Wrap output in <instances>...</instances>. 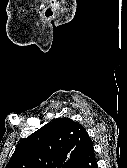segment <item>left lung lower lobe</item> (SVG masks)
<instances>
[{"label": "left lung lower lobe", "instance_id": "obj_1", "mask_svg": "<svg viewBox=\"0 0 127 168\" xmlns=\"http://www.w3.org/2000/svg\"><path fill=\"white\" fill-rule=\"evenodd\" d=\"M76 168H97L93 143L90 138H88L82 147Z\"/></svg>", "mask_w": 127, "mask_h": 168}]
</instances>
